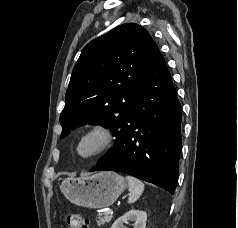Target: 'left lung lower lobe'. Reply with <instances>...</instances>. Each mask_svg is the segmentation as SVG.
Instances as JSON below:
<instances>
[{
  "label": "left lung lower lobe",
  "instance_id": "left-lung-lower-lobe-1",
  "mask_svg": "<svg viewBox=\"0 0 238 228\" xmlns=\"http://www.w3.org/2000/svg\"><path fill=\"white\" fill-rule=\"evenodd\" d=\"M182 107L159 52L122 122L111 156L90 171L111 170L174 194L181 151Z\"/></svg>",
  "mask_w": 238,
  "mask_h": 228
}]
</instances>
